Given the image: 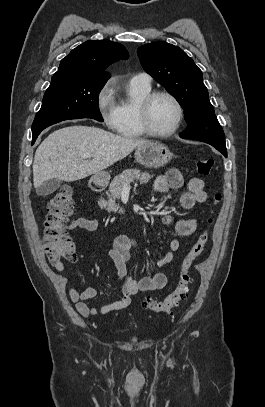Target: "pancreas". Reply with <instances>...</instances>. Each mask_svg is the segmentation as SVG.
<instances>
[{
    "label": "pancreas",
    "instance_id": "cf45deb5",
    "mask_svg": "<svg viewBox=\"0 0 265 407\" xmlns=\"http://www.w3.org/2000/svg\"><path fill=\"white\" fill-rule=\"evenodd\" d=\"M152 177L153 176L146 172L141 173L138 169H128L123 171L110 183L108 201L101 199L98 202V205L100 208H105L108 212L117 211L118 206L115 201L120 198L124 185H130L134 180L139 181L141 184L148 183Z\"/></svg>",
    "mask_w": 265,
    "mask_h": 407
}]
</instances>
